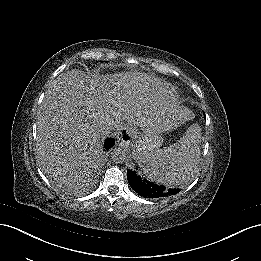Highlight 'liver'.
<instances>
[{
  "instance_id": "obj_1",
  "label": "liver",
  "mask_w": 261,
  "mask_h": 261,
  "mask_svg": "<svg viewBox=\"0 0 261 261\" xmlns=\"http://www.w3.org/2000/svg\"><path fill=\"white\" fill-rule=\"evenodd\" d=\"M165 105L163 99L153 107L145 105L116 76L90 77L71 70L43 99L37 125L38 163L56 184L85 177L97 166L106 126L127 121L148 127L153 120H161ZM162 126L157 130L171 128Z\"/></svg>"
}]
</instances>
